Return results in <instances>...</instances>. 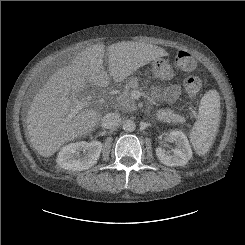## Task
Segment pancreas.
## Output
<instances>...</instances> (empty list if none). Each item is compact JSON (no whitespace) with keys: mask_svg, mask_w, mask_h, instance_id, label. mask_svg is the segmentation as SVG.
Here are the masks:
<instances>
[{"mask_svg":"<svg viewBox=\"0 0 245 245\" xmlns=\"http://www.w3.org/2000/svg\"><path fill=\"white\" fill-rule=\"evenodd\" d=\"M139 89L137 78H130L123 92L120 94L118 101L124 111H133L136 108L134 100L130 99L133 90ZM156 117L158 120L168 123H184L185 118L175 114L171 109H157Z\"/></svg>","mask_w":245,"mask_h":245,"instance_id":"cf45deb5","label":"pancreas"}]
</instances>
